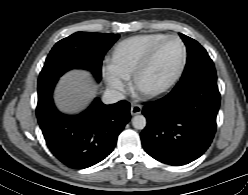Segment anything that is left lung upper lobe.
Segmentation results:
<instances>
[{
  "label": "left lung upper lobe",
  "instance_id": "obj_1",
  "mask_svg": "<svg viewBox=\"0 0 248 195\" xmlns=\"http://www.w3.org/2000/svg\"><path fill=\"white\" fill-rule=\"evenodd\" d=\"M184 41L188 58L180 83L190 85L203 80H216L214 64L206 50L194 39L181 34Z\"/></svg>",
  "mask_w": 248,
  "mask_h": 195
}]
</instances>
